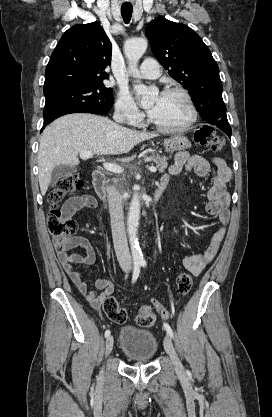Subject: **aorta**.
I'll return each instance as SVG.
<instances>
[{"mask_svg":"<svg viewBox=\"0 0 272 417\" xmlns=\"http://www.w3.org/2000/svg\"><path fill=\"white\" fill-rule=\"evenodd\" d=\"M147 49V41L143 38L128 40L124 45V53L129 61V69L132 72L137 71L139 59L143 56ZM134 89L138 95H141V104L143 106L152 103L158 95L156 87H148L141 82H137ZM140 219V198L135 191L130 203L127 230L129 234V242L131 247L132 258L135 262L143 260V255L139 247L137 232Z\"/></svg>","mask_w":272,"mask_h":417,"instance_id":"obj_1","label":"aorta"}]
</instances>
